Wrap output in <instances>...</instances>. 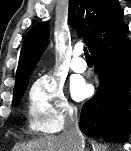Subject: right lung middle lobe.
Returning <instances> with one entry per match:
<instances>
[{
  "label": "right lung middle lobe",
  "mask_w": 131,
  "mask_h": 151,
  "mask_svg": "<svg viewBox=\"0 0 131 151\" xmlns=\"http://www.w3.org/2000/svg\"><path fill=\"white\" fill-rule=\"evenodd\" d=\"M27 85L28 84L20 87L17 90H14V98H13V103H12L13 106L18 105V103L20 102V100H21V98H22V96H23V94L27 88Z\"/></svg>",
  "instance_id": "obj_1"
}]
</instances>
